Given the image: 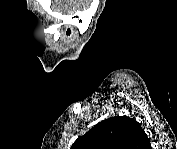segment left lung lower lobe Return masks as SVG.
Masks as SVG:
<instances>
[{
	"instance_id": "left-lung-lower-lobe-1",
	"label": "left lung lower lobe",
	"mask_w": 177,
	"mask_h": 149,
	"mask_svg": "<svg viewBox=\"0 0 177 149\" xmlns=\"http://www.w3.org/2000/svg\"><path fill=\"white\" fill-rule=\"evenodd\" d=\"M147 148H150V141H149V143H148V145H147Z\"/></svg>"
}]
</instances>
